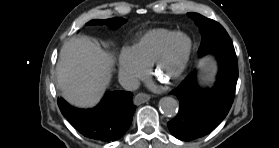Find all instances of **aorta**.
Segmentation results:
<instances>
[{
	"label": "aorta",
	"instance_id": "obj_1",
	"mask_svg": "<svg viewBox=\"0 0 279 148\" xmlns=\"http://www.w3.org/2000/svg\"><path fill=\"white\" fill-rule=\"evenodd\" d=\"M178 108V101L172 97H163L159 101V109L167 117L176 116Z\"/></svg>",
	"mask_w": 279,
	"mask_h": 148
}]
</instances>
